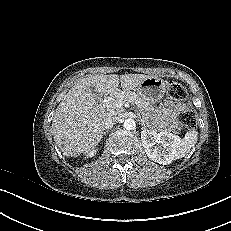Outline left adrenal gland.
Listing matches in <instances>:
<instances>
[{
	"instance_id": "a2214340",
	"label": "left adrenal gland",
	"mask_w": 231,
	"mask_h": 231,
	"mask_svg": "<svg viewBox=\"0 0 231 231\" xmlns=\"http://www.w3.org/2000/svg\"><path fill=\"white\" fill-rule=\"evenodd\" d=\"M141 124H142V129L146 130V129H145L146 126H145L144 122H142Z\"/></svg>"
}]
</instances>
